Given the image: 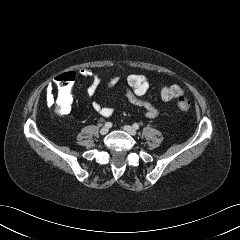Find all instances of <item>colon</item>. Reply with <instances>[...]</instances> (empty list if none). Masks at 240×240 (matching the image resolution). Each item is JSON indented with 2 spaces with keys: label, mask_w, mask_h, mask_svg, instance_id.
Returning a JSON list of instances; mask_svg holds the SVG:
<instances>
[{
  "label": "colon",
  "mask_w": 240,
  "mask_h": 240,
  "mask_svg": "<svg viewBox=\"0 0 240 240\" xmlns=\"http://www.w3.org/2000/svg\"><path fill=\"white\" fill-rule=\"evenodd\" d=\"M74 77L73 73L68 72L56 78V95L52 104L56 106V111L59 114H65L71 109L72 99L70 91ZM125 83L129 90L138 97H145L151 89L148 77L140 72L129 73ZM160 98L163 101L176 100L177 106L181 111L189 110L192 105V101L184 95L181 86L175 83L164 85L160 89Z\"/></svg>",
  "instance_id": "colon-1"
}]
</instances>
